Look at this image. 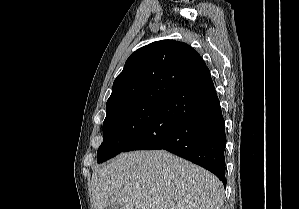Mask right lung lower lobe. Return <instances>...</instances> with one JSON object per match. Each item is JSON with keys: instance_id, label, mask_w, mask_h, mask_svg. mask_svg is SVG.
Listing matches in <instances>:
<instances>
[{"instance_id": "right-lung-lower-lobe-1", "label": "right lung lower lobe", "mask_w": 299, "mask_h": 209, "mask_svg": "<svg viewBox=\"0 0 299 209\" xmlns=\"http://www.w3.org/2000/svg\"><path fill=\"white\" fill-rule=\"evenodd\" d=\"M226 134L210 72L182 85L164 101L122 152L165 149L215 174L226 186Z\"/></svg>"}]
</instances>
